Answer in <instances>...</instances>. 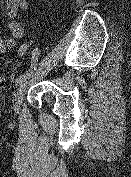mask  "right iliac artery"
I'll use <instances>...</instances> for the list:
<instances>
[{"label":"right iliac artery","mask_w":131,"mask_h":177,"mask_svg":"<svg viewBox=\"0 0 131 177\" xmlns=\"http://www.w3.org/2000/svg\"><path fill=\"white\" fill-rule=\"evenodd\" d=\"M31 76L30 72H24L19 76L18 83L26 81Z\"/></svg>","instance_id":"obj_1"}]
</instances>
